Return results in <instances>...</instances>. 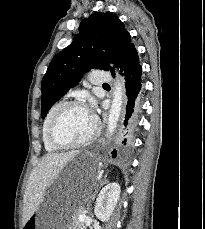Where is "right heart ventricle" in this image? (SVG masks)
I'll list each match as a JSON object with an SVG mask.
<instances>
[{
  "label": "right heart ventricle",
  "instance_id": "e07e8e85",
  "mask_svg": "<svg viewBox=\"0 0 205 229\" xmlns=\"http://www.w3.org/2000/svg\"><path fill=\"white\" fill-rule=\"evenodd\" d=\"M61 104H62V102H56L50 107V109L48 110L47 115L43 121V124H42V141H43L45 150L47 152H55L58 150L57 147L53 146L50 143V141L48 139V130H49L50 122H51L55 112L57 111V109L60 107Z\"/></svg>",
  "mask_w": 205,
  "mask_h": 229
}]
</instances>
